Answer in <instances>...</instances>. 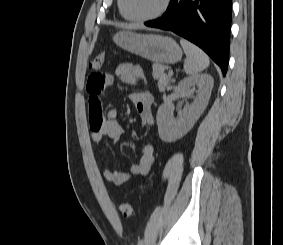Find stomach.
I'll return each mask as SVG.
<instances>
[{
  "mask_svg": "<svg viewBox=\"0 0 283 245\" xmlns=\"http://www.w3.org/2000/svg\"><path fill=\"white\" fill-rule=\"evenodd\" d=\"M122 49L156 63L173 64L181 60L182 50L170 37L120 31L113 37Z\"/></svg>",
  "mask_w": 283,
  "mask_h": 245,
  "instance_id": "stomach-1",
  "label": "stomach"
}]
</instances>
